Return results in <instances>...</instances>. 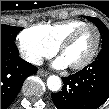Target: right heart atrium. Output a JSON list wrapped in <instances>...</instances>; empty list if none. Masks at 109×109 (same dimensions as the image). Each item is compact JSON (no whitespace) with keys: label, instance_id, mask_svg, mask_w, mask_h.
<instances>
[{"label":"right heart atrium","instance_id":"d8ad5b80","mask_svg":"<svg viewBox=\"0 0 109 109\" xmlns=\"http://www.w3.org/2000/svg\"><path fill=\"white\" fill-rule=\"evenodd\" d=\"M17 40L21 55L33 64L40 63L43 57L52 56L57 51L49 38L34 27L22 31Z\"/></svg>","mask_w":109,"mask_h":109}]
</instances>
